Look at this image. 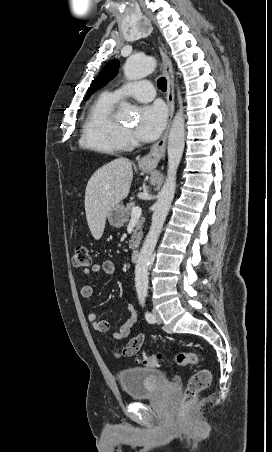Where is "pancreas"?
I'll return each instance as SVG.
<instances>
[{
  "instance_id": "cf45deb5",
  "label": "pancreas",
  "mask_w": 272,
  "mask_h": 452,
  "mask_svg": "<svg viewBox=\"0 0 272 452\" xmlns=\"http://www.w3.org/2000/svg\"><path fill=\"white\" fill-rule=\"evenodd\" d=\"M135 207V203L131 202L128 203L126 208H125V213H126V220L125 222L129 221V218L131 217V212H132V208ZM144 222V218H141L140 220H138L135 224V228L133 230V234L131 236V240L129 241V248L134 250L138 247V245L140 244V241L143 237V232H142V225Z\"/></svg>"
}]
</instances>
